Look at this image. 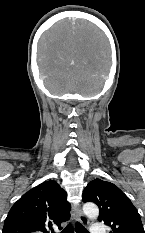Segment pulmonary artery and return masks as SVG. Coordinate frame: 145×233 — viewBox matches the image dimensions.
Returning <instances> with one entry per match:
<instances>
[{
  "label": "pulmonary artery",
  "mask_w": 145,
  "mask_h": 233,
  "mask_svg": "<svg viewBox=\"0 0 145 233\" xmlns=\"http://www.w3.org/2000/svg\"><path fill=\"white\" fill-rule=\"evenodd\" d=\"M91 233H107L104 228V225L100 222H96L92 225L90 229Z\"/></svg>",
  "instance_id": "1"
}]
</instances>
